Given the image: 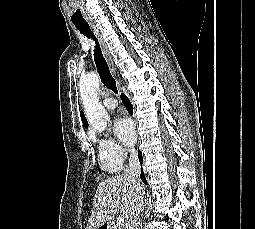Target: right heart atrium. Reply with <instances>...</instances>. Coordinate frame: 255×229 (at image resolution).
Segmentation results:
<instances>
[{
  "label": "right heart atrium",
  "mask_w": 255,
  "mask_h": 229,
  "mask_svg": "<svg viewBox=\"0 0 255 229\" xmlns=\"http://www.w3.org/2000/svg\"><path fill=\"white\" fill-rule=\"evenodd\" d=\"M98 147L102 165L106 170L121 167L128 154L131 153L130 149L110 137L100 139Z\"/></svg>",
  "instance_id": "right-heart-atrium-1"
}]
</instances>
